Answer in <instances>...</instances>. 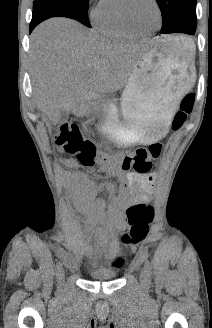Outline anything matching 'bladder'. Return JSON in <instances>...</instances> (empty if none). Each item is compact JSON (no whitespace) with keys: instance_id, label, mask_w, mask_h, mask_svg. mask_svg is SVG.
Masks as SVG:
<instances>
[{"instance_id":"1","label":"bladder","mask_w":212,"mask_h":328,"mask_svg":"<svg viewBox=\"0 0 212 328\" xmlns=\"http://www.w3.org/2000/svg\"><path fill=\"white\" fill-rule=\"evenodd\" d=\"M89 274L91 277L98 280H110L116 276L115 272L101 269L96 266H90Z\"/></svg>"}]
</instances>
